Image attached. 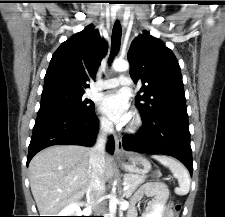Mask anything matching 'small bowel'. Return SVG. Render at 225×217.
Here are the masks:
<instances>
[{
  "label": "small bowel",
  "mask_w": 225,
  "mask_h": 217,
  "mask_svg": "<svg viewBox=\"0 0 225 217\" xmlns=\"http://www.w3.org/2000/svg\"><path fill=\"white\" fill-rule=\"evenodd\" d=\"M166 192V186L162 182H147L140 188H138L137 191L133 194L131 198V204L135 206L140 203L145 197H153V200L150 203V209H153L163 202ZM129 217H136V212L134 209L130 210ZM166 217H175V214L172 211H168Z\"/></svg>",
  "instance_id": "c3829d8e"
}]
</instances>
